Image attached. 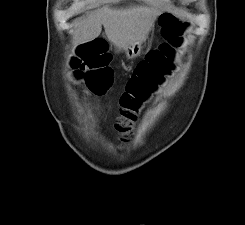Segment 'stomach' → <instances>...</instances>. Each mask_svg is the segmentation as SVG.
I'll return each instance as SVG.
<instances>
[{"label":"stomach","mask_w":245,"mask_h":225,"mask_svg":"<svg viewBox=\"0 0 245 225\" xmlns=\"http://www.w3.org/2000/svg\"><path fill=\"white\" fill-rule=\"evenodd\" d=\"M143 41L141 42H136L135 44L125 48V54L128 59H134L137 56L140 55L142 48H143Z\"/></svg>","instance_id":"stomach-1"}]
</instances>
